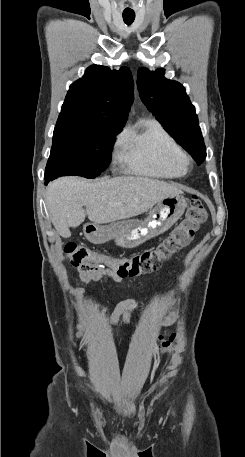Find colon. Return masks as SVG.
I'll return each mask as SVG.
<instances>
[{
	"instance_id": "5ec220e1",
	"label": "colon",
	"mask_w": 245,
	"mask_h": 457,
	"mask_svg": "<svg viewBox=\"0 0 245 457\" xmlns=\"http://www.w3.org/2000/svg\"><path fill=\"white\" fill-rule=\"evenodd\" d=\"M206 209L200 198L191 199L182 222L173 228L169 236L156 248L145 250L128 257L112 258L90 250L80 243L68 242L63 254L72 265L81 271L108 268L119 277H135L152 272L168 257L177 253L193 236L195 230L206 219ZM174 332H165L158 338L157 349L166 352L175 340Z\"/></svg>"
}]
</instances>
